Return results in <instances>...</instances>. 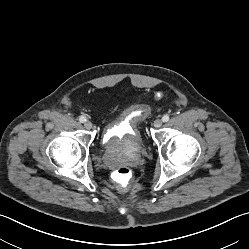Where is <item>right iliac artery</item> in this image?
I'll return each mask as SVG.
<instances>
[{"mask_svg": "<svg viewBox=\"0 0 249 249\" xmlns=\"http://www.w3.org/2000/svg\"><path fill=\"white\" fill-rule=\"evenodd\" d=\"M79 121L81 123H84L86 121V117H84V116L79 117Z\"/></svg>", "mask_w": 249, "mask_h": 249, "instance_id": "right-iliac-artery-1", "label": "right iliac artery"}]
</instances>
